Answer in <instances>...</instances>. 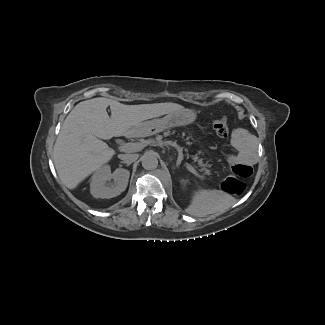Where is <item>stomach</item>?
<instances>
[{"instance_id": "0dacf381", "label": "stomach", "mask_w": 325, "mask_h": 325, "mask_svg": "<svg viewBox=\"0 0 325 325\" xmlns=\"http://www.w3.org/2000/svg\"><path fill=\"white\" fill-rule=\"evenodd\" d=\"M194 118L195 116L192 113L175 111L167 114L162 119H154L136 126L133 128V132L137 136L145 137L159 133L166 128L189 124L194 120Z\"/></svg>"}]
</instances>
